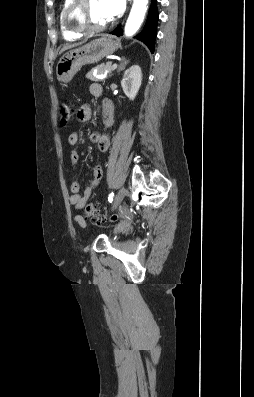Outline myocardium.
I'll return each mask as SVG.
<instances>
[{
    "mask_svg": "<svg viewBox=\"0 0 254 397\" xmlns=\"http://www.w3.org/2000/svg\"><path fill=\"white\" fill-rule=\"evenodd\" d=\"M90 0H72L64 13V23L66 27L76 33L90 34L107 29L111 22L100 26L90 25L85 17L86 8Z\"/></svg>",
    "mask_w": 254,
    "mask_h": 397,
    "instance_id": "1",
    "label": "myocardium"
}]
</instances>
